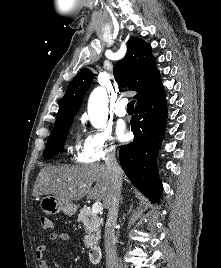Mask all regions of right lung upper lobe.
Returning a JSON list of instances; mask_svg holds the SVG:
<instances>
[{"instance_id":"right-lung-upper-lobe-1","label":"right lung upper lobe","mask_w":221,"mask_h":268,"mask_svg":"<svg viewBox=\"0 0 221 268\" xmlns=\"http://www.w3.org/2000/svg\"><path fill=\"white\" fill-rule=\"evenodd\" d=\"M113 72L122 87L137 92L134 96L137 104L150 100L164 90L151 48L141 38L129 39L127 54L117 62ZM92 78L90 69H83L76 75L62 98L55 125L73 120Z\"/></svg>"}]
</instances>
